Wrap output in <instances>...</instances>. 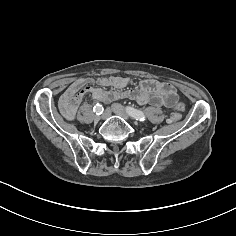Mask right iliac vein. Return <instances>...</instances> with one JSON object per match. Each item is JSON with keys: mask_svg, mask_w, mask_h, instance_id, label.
Masks as SVG:
<instances>
[{"mask_svg": "<svg viewBox=\"0 0 236 236\" xmlns=\"http://www.w3.org/2000/svg\"><path fill=\"white\" fill-rule=\"evenodd\" d=\"M110 115H111L110 110H109V109H106V110L103 112L101 118H102L103 120H106V119H108V118L110 117Z\"/></svg>", "mask_w": 236, "mask_h": 236, "instance_id": "63e3f726", "label": "right iliac vein"}]
</instances>
